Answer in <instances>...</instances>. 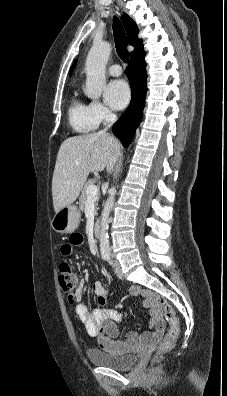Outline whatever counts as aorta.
<instances>
[{
	"label": "aorta",
	"mask_w": 227,
	"mask_h": 396,
	"mask_svg": "<svg viewBox=\"0 0 227 396\" xmlns=\"http://www.w3.org/2000/svg\"><path fill=\"white\" fill-rule=\"evenodd\" d=\"M111 53V44L102 40L94 41L86 60L85 94L91 99H99L106 84L105 68ZM116 187L109 191V197L101 215L100 249L109 251L108 222L114 204Z\"/></svg>",
	"instance_id": "762f6f07"
}]
</instances>
